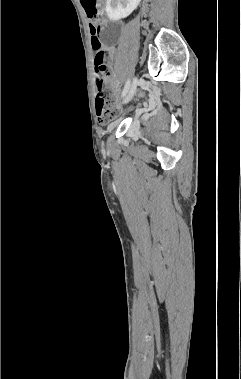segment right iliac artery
Returning a JSON list of instances; mask_svg holds the SVG:
<instances>
[{"instance_id":"right-iliac-artery-1","label":"right iliac artery","mask_w":241,"mask_h":379,"mask_svg":"<svg viewBox=\"0 0 241 379\" xmlns=\"http://www.w3.org/2000/svg\"><path fill=\"white\" fill-rule=\"evenodd\" d=\"M130 88V80L128 79L125 86H124V89H123V92H122V97L125 96V94L128 92Z\"/></svg>"}]
</instances>
